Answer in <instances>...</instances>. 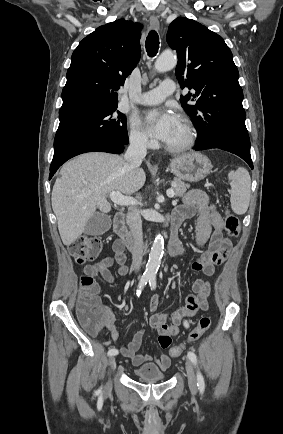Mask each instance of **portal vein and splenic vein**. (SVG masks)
<instances>
[{
	"instance_id": "18ae733b",
	"label": "portal vein and splenic vein",
	"mask_w": 283,
	"mask_h": 434,
	"mask_svg": "<svg viewBox=\"0 0 283 434\" xmlns=\"http://www.w3.org/2000/svg\"><path fill=\"white\" fill-rule=\"evenodd\" d=\"M167 196L170 198H173L175 195V192L173 189H169L166 192ZM110 199L112 200V202H114L117 205L120 206H131V205H136L138 204V201L131 197V196H124L122 195L120 192L118 191H113L109 194Z\"/></svg>"
}]
</instances>
